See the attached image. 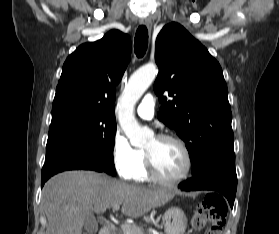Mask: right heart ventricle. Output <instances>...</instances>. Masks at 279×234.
<instances>
[{
  "mask_svg": "<svg viewBox=\"0 0 279 234\" xmlns=\"http://www.w3.org/2000/svg\"><path fill=\"white\" fill-rule=\"evenodd\" d=\"M128 179L135 182H147L149 181V175L147 172L145 153L143 150H137V159L133 170Z\"/></svg>",
  "mask_w": 279,
  "mask_h": 234,
  "instance_id": "right-heart-ventricle-1",
  "label": "right heart ventricle"
}]
</instances>
